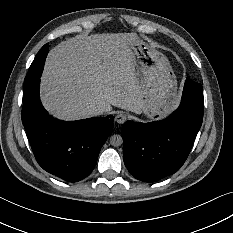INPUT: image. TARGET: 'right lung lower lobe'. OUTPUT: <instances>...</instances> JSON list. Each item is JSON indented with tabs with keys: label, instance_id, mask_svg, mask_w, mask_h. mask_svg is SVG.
<instances>
[{
	"label": "right lung lower lobe",
	"instance_id": "obj_1",
	"mask_svg": "<svg viewBox=\"0 0 233 233\" xmlns=\"http://www.w3.org/2000/svg\"><path fill=\"white\" fill-rule=\"evenodd\" d=\"M47 54L48 47L42 54L45 59ZM39 84L40 77L24 89L22 108V122L35 158L45 171L65 181H80L94 169L111 132L113 116L78 121L55 119L41 104Z\"/></svg>",
	"mask_w": 233,
	"mask_h": 233
}]
</instances>
